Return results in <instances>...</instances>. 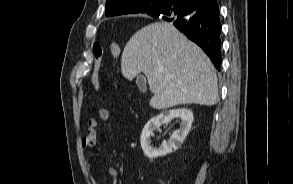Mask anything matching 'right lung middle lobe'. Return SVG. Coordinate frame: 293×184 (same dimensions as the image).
<instances>
[{
  "mask_svg": "<svg viewBox=\"0 0 293 184\" xmlns=\"http://www.w3.org/2000/svg\"><path fill=\"white\" fill-rule=\"evenodd\" d=\"M168 5L167 0H157L151 5L152 12L163 11Z\"/></svg>",
  "mask_w": 293,
  "mask_h": 184,
  "instance_id": "dd1d6c3e",
  "label": "right lung middle lobe"
}]
</instances>
